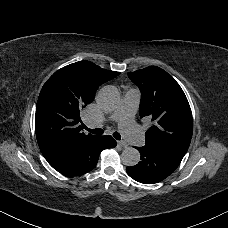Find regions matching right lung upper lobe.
<instances>
[{"label":"right lung upper lobe","instance_id":"cb5924a9","mask_svg":"<svg viewBox=\"0 0 228 228\" xmlns=\"http://www.w3.org/2000/svg\"><path fill=\"white\" fill-rule=\"evenodd\" d=\"M117 75L119 72L81 61L59 69L48 79L35 114L36 137L45 158L71 144L96 137L82 132L80 112L93 101L98 87Z\"/></svg>","mask_w":228,"mask_h":228}]
</instances>
